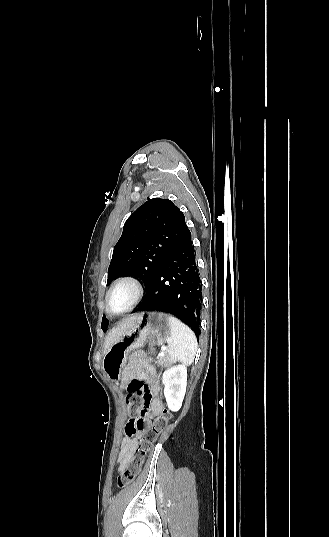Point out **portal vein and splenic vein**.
Instances as JSON below:
<instances>
[{"mask_svg": "<svg viewBox=\"0 0 329 537\" xmlns=\"http://www.w3.org/2000/svg\"><path fill=\"white\" fill-rule=\"evenodd\" d=\"M161 350H162V351L166 350V346L163 345V346L161 347Z\"/></svg>", "mask_w": 329, "mask_h": 537, "instance_id": "obj_1", "label": "portal vein and splenic vein"}]
</instances>
